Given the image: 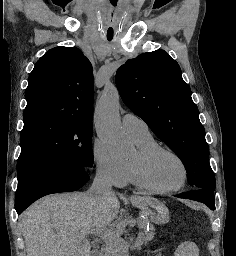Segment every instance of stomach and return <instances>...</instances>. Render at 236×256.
I'll list each match as a JSON object with an SVG mask.
<instances>
[{"label":"stomach","instance_id":"obj_1","mask_svg":"<svg viewBox=\"0 0 236 256\" xmlns=\"http://www.w3.org/2000/svg\"><path fill=\"white\" fill-rule=\"evenodd\" d=\"M132 203L148 215L156 224H165L169 221V211L159 200L152 197H140Z\"/></svg>","mask_w":236,"mask_h":256}]
</instances>
